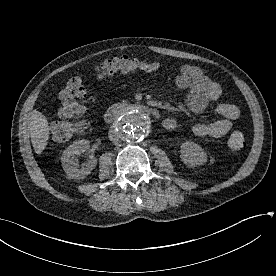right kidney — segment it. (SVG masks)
Returning <instances> with one entry per match:
<instances>
[{"instance_id":"1","label":"right kidney","mask_w":276,"mask_h":276,"mask_svg":"<svg viewBox=\"0 0 276 276\" xmlns=\"http://www.w3.org/2000/svg\"><path fill=\"white\" fill-rule=\"evenodd\" d=\"M89 147V141L83 139L73 142V144L63 151L61 162L67 176L73 179H83L96 167L97 160L94 158L88 160L81 167H79L78 160L75 159L76 155L83 153L89 149Z\"/></svg>"}]
</instances>
